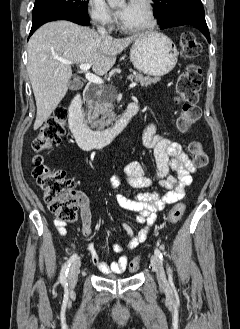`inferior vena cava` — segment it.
Listing matches in <instances>:
<instances>
[{"label": "inferior vena cava", "instance_id": "602c4592", "mask_svg": "<svg viewBox=\"0 0 240 329\" xmlns=\"http://www.w3.org/2000/svg\"><path fill=\"white\" fill-rule=\"evenodd\" d=\"M98 32L102 37H108L107 31L105 30L104 27H98Z\"/></svg>", "mask_w": 240, "mask_h": 329}]
</instances>
